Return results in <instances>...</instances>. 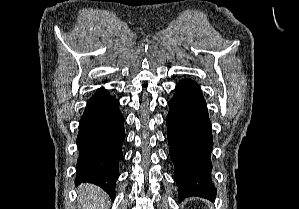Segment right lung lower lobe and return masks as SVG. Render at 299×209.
Returning a JSON list of instances; mask_svg holds the SVG:
<instances>
[{
	"mask_svg": "<svg viewBox=\"0 0 299 209\" xmlns=\"http://www.w3.org/2000/svg\"><path fill=\"white\" fill-rule=\"evenodd\" d=\"M118 103L103 89L95 93L80 119L77 137L79 158L75 183L98 185L112 198L116 194L115 182L125 138L124 117Z\"/></svg>",
	"mask_w": 299,
	"mask_h": 209,
	"instance_id": "98d812e1",
	"label": "right lung lower lobe"
}]
</instances>
